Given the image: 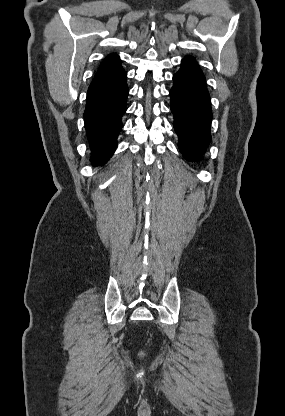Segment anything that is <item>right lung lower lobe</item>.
Segmentation results:
<instances>
[{"label": "right lung lower lobe", "instance_id": "right-lung-lower-lobe-1", "mask_svg": "<svg viewBox=\"0 0 285 416\" xmlns=\"http://www.w3.org/2000/svg\"><path fill=\"white\" fill-rule=\"evenodd\" d=\"M126 78L124 72L110 82L88 89L84 121L96 165L104 164L116 148L127 107Z\"/></svg>", "mask_w": 285, "mask_h": 416}]
</instances>
